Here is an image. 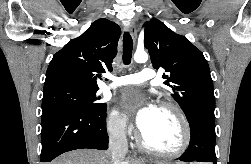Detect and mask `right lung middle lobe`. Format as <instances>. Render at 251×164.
Segmentation results:
<instances>
[{"label":"right lung middle lobe","instance_id":"obj_1","mask_svg":"<svg viewBox=\"0 0 251 164\" xmlns=\"http://www.w3.org/2000/svg\"><path fill=\"white\" fill-rule=\"evenodd\" d=\"M97 90L76 87H59L44 91L42 111L50 108H71L83 111L98 112L107 107L106 103L97 102Z\"/></svg>","mask_w":251,"mask_h":164}]
</instances>
